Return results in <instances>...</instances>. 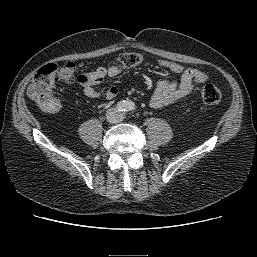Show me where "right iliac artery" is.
Returning a JSON list of instances; mask_svg holds the SVG:
<instances>
[{"instance_id": "right-iliac-artery-1", "label": "right iliac artery", "mask_w": 257, "mask_h": 257, "mask_svg": "<svg viewBox=\"0 0 257 257\" xmlns=\"http://www.w3.org/2000/svg\"><path fill=\"white\" fill-rule=\"evenodd\" d=\"M118 109L121 111L125 110V104L123 102L118 103Z\"/></svg>"}]
</instances>
